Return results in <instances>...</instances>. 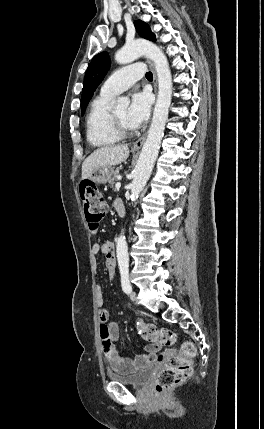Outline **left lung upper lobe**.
Returning <instances> with one entry per match:
<instances>
[{"label": "left lung upper lobe", "mask_w": 264, "mask_h": 429, "mask_svg": "<svg viewBox=\"0 0 264 429\" xmlns=\"http://www.w3.org/2000/svg\"><path fill=\"white\" fill-rule=\"evenodd\" d=\"M139 35L145 39L156 41L154 33L150 27L141 20L134 22ZM110 67L109 56L106 52L97 54L91 61L84 78L82 96H81V113L84 114L86 107L93 96V92L101 83Z\"/></svg>", "instance_id": "obj_1"}]
</instances>
